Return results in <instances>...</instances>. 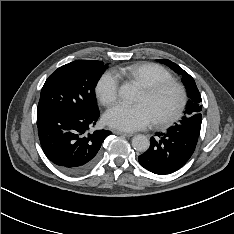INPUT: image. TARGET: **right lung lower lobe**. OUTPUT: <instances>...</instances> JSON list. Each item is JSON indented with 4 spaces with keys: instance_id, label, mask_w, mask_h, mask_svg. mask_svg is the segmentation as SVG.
Listing matches in <instances>:
<instances>
[{
    "instance_id": "obj_1",
    "label": "right lung lower lobe",
    "mask_w": 234,
    "mask_h": 234,
    "mask_svg": "<svg viewBox=\"0 0 234 234\" xmlns=\"http://www.w3.org/2000/svg\"><path fill=\"white\" fill-rule=\"evenodd\" d=\"M99 113L84 115L66 110H53L37 115L38 134L47 158L69 174L89 170L99 157L107 130L91 128Z\"/></svg>"
}]
</instances>
